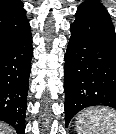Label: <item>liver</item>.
<instances>
[{
    "mask_svg": "<svg viewBox=\"0 0 116 134\" xmlns=\"http://www.w3.org/2000/svg\"><path fill=\"white\" fill-rule=\"evenodd\" d=\"M12 130L5 127V124L0 123V134H11Z\"/></svg>",
    "mask_w": 116,
    "mask_h": 134,
    "instance_id": "liver-1",
    "label": "liver"
}]
</instances>
